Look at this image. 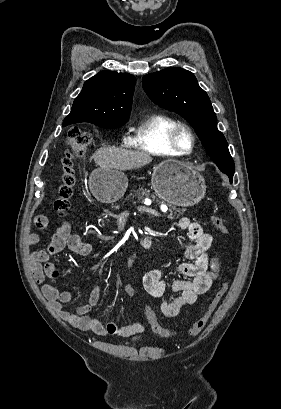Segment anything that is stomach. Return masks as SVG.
I'll return each mask as SVG.
<instances>
[{"instance_id":"obj_1","label":"stomach","mask_w":281,"mask_h":409,"mask_svg":"<svg viewBox=\"0 0 281 409\" xmlns=\"http://www.w3.org/2000/svg\"><path fill=\"white\" fill-rule=\"evenodd\" d=\"M151 182L157 196L176 207H193L206 192L203 176L182 160H162L156 164ZM127 186L128 178L118 168H95L90 174L89 188L100 202H116Z\"/></svg>"}]
</instances>
